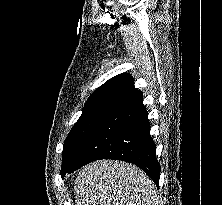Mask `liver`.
Listing matches in <instances>:
<instances>
[{"instance_id": "1", "label": "liver", "mask_w": 222, "mask_h": 205, "mask_svg": "<svg viewBox=\"0 0 222 205\" xmlns=\"http://www.w3.org/2000/svg\"><path fill=\"white\" fill-rule=\"evenodd\" d=\"M76 205H158L153 181L135 165L100 160L79 172Z\"/></svg>"}]
</instances>
